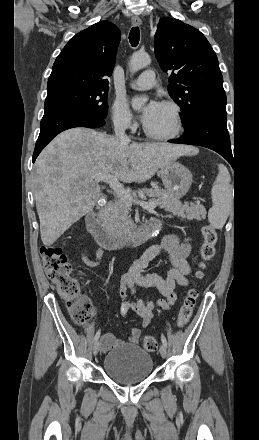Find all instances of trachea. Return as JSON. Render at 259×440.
<instances>
[{"instance_id": "trachea-1", "label": "trachea", "mask_w": 259, "mask_h": 440, "mask_svg": "<svg viewBox=\"0 0 259 440\" xmlns=\"http://www.w3.org/2000/svg\"><path fill=\"white\" fill-rule=\"evenodd\" d=\"M140 40V31L138 27H133L129 33V41L133 47H136Z\"/></svg>"}]
</instances>
